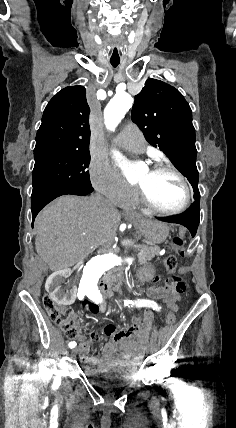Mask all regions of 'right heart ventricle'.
Here are the masks:
<instances>
[{"mask_svg":"<svg viewBox=\"0 0 236 428\" xmlns=\"http://www.w3.org/2000/svg\"><path fill=\"white\" fill-rule=\"evenodd\" d=\"M130 202H131V201H130ZM132 202H134V203H139V200H138V198H137L136 196H134V198H133Z\"/></svg>","mask_w":236,"mask_h":428,"instance_id":"obj_1","label":"right heart ventricle"}]
</instances>
